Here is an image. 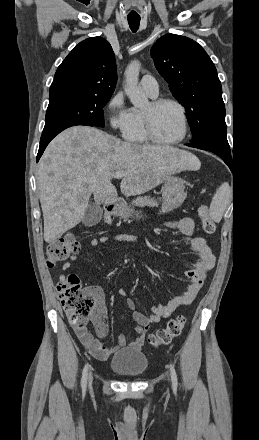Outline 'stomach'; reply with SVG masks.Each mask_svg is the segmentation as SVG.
<instances>
[{"label": "stomach", "instance_id": "stomach-1", "mask_svg": "<svg viewBox=\"0 0 259 440\" xmlns=\"http://www.w3.org/2000/svg\"><path fill=\"white\" fill-rule=\"evenodd\" d=\"M185 198V181L177 176L169 175L165 179L162 187V207L160 214L168 213L174 209H177L184 202ZM115 214L123 218H142V215H140L138 212L130 210L125 204L119 205L115 210Z\"/></svg>", "mask_w": 259, "mask_h": 440}]
</instances>
